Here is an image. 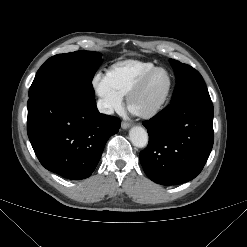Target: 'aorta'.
Wrapping results in <instances>:
<instances>
[{"instance_id":"762f6f07","label":"aorta","mask_w":247,"mask_h":247,"mask_svg":"<svg viewBox=\"0 0 247 247\" xmlns=\"http://www.w3.org/2000/svg\"><path fill=\"white\" fill-rule=\"evenodd\" d=\"M129 138L131 143L138 148H144L148 144V133L140 126H134L130 129Z\"/></svg>"}]
</instances>
